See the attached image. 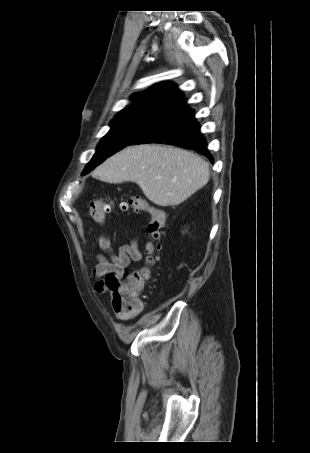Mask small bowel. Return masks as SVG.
<instances>
[{
    "instance_id": "c3829d8e",
    "label": "small bowel",
    "mask_w": 310,
    "mask_h": 453,
    "mask_svg": "<svg viewBox=\"0 0 310 453\" xmlns=\"http://www.w3.org/2000/svg\"><path fill=\"white\" fill-rule=\"evenodd\" d=\"M96 243L107 254V256H98V264L93 270L94 277L98 278L95 283V290L98 293H103L109 290L108 277L113 276L116 279H121L131 262L141 260L142 253L135 239H131L129 243L120 246L117 250L112 247L109 238L103 234L96 238ZM117 317L125 321L134 316L125 317L117 314Z\"/></svg>"
}]
</instances>
